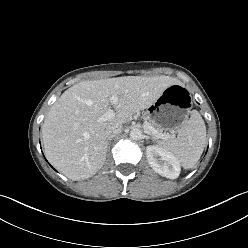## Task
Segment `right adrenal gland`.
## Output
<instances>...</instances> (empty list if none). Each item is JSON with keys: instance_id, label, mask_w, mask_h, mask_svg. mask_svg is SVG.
I'll list each match as a JSON object with an SVG mask.
<instances>
[{"instance_id": "1", "label": "right adrenal gland", "mask_w": 248, "mask_h": 248, "mask_svg": "<svg viewBox=\"0 0 248 248\" xmlns=\"http://www.w3.org/2000/svg\"><path fill=\"white\" fill-rule=\"evenodd\" d=\"M110 145H111V140H109L108 142V148H110Z\"/></svg>"}]
</instances>
